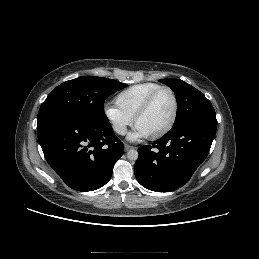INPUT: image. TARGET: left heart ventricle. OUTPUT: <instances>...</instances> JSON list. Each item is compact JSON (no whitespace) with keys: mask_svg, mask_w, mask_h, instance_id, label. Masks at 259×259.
<instances>
[{"mask_svg":"<svg viewBox=\"0 0 259 259\" xmlns=\"http://www.w3.org/2000/svg\"><path fill=\"white\" fill-rule=\"evenodd\" d=\"M174 109V102L170 92L163 90L154 98L148 112L141 117L136 127L147 136L162 130L170 121Z\"/></svg>","mask_w":259,"mask_h":259,"instance_id":"b2bd125f","label":"left heart ventricle"}]
</instances>
